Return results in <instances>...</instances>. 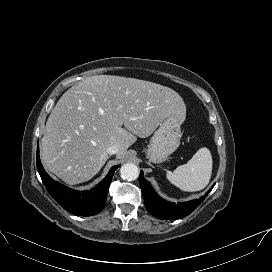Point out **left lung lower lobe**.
<instances>
[{
  "label": "left lung lower lobe",
  "mask_w": 272,
  "mask_h": 272,
  "mask_svg": "<svg viewBox=\"0 0 272 272\" xmlns=\"http://www.w3.org/2000/svg\"><path fill=\"white\" fill-rule=\"evenodd\" d=\"M139 183L147 210L154 217L159 219L174 220L183 218L192 213L204 200V197H202L201 199L178 204L167 202L156 194L152 186L144 178L143 171L140 172ZM212 188L209 191H211ZM205 196H207V194Z\"/></svg>",
  "instance_id": "0a47b994"
}]
</instances>
